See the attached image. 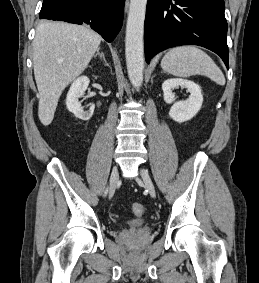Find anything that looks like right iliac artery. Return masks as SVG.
I'll return each mask as SVG.
<instances>
[{"mask_svg": "<svg viewBox=\"0 0 259 283\" xmlns=\"http://www.w3.org/2000/svg\"><path fill=\"white\" fill-rule=\"evenodd\" d=\"M108 193V188H106L105 192H104V195L106 196Z\"/></svg>", "mask_w": 259, "mask_h": 283, "instance_id": "right-iliac-artery-1", "label": "right iliac artery"}]
</instances>
